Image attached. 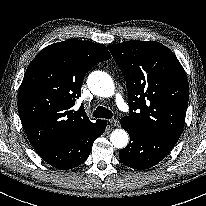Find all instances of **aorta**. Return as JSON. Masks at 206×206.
<instances>
[{"mask_svg":"<svg viewBox=\"0 0 206 206\" xmlns=\"http://www.w3.org/2000/svg\"><path fill=\"white\" fill-rule=\"evenodd\" d=\"M88 87L93 94L100 97H110L114 94L112 78L105 72L94 71L88 77ZM128 133L123 129H115L110 135V141L114 147L122 149L128 144Z\"/></svg>","mask_w":206,"mask_h":206,"instance_id":"762f6f07","label":"aorta"}]
</instances>
